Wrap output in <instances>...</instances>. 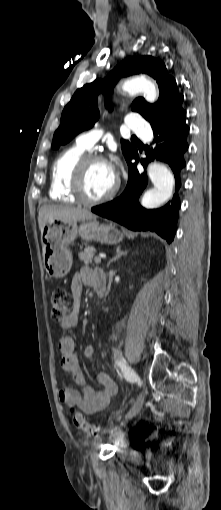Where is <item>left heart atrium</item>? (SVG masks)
Listing matches in <instances>:
<instances>
[{
  "label": "left heart atrium",
  "instance_id": "left-heart-atrium-1",
  "mask_svg": "<svg viewBox=\"0 0 221 510\" xmlns=\"http://www.w3.org/2000/svg\"><path fill=\"white\" fill-rule=\"evenodd\" d=\"M110 165H111V169H112L113 173L117 176V165H116V163L114 162V163H111Z\"/></svg>",
  "mask_w": 221,
  "mask_h": 510
}]
</instances>
